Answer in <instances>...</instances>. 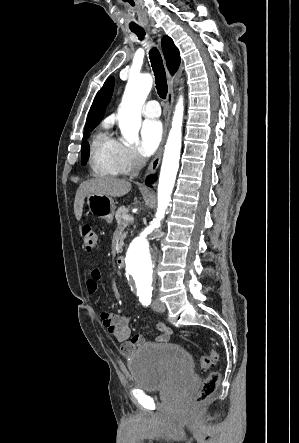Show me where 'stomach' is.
Masks as SVG:
<instances>
[{"label":"stomach","mask_w":299,"mask_h":443,"mask_svg":"<svg viewBox=\"0 0 299 443\" xmlns=\"http://www.w3.org/2000/svg\"><path fill=\"white\" fill-rule=\"evenodd\" d=\"M87 205L89 211L98 218L104 219L107 223L113 221L115 212L114 200L105 195H88Z\"/></svg>","instance_id":"obj_1"}]
</instances>
